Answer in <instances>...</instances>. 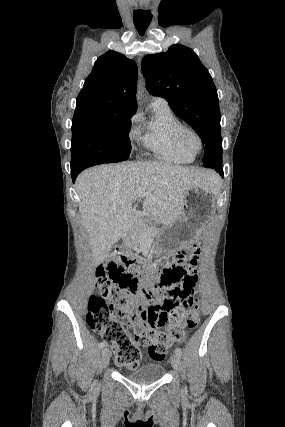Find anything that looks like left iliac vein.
<instances>
[{"label":"left iliac vein","instance_id":"1","mask_svg":"<svg viewBox=\"0 0 285 427\" xmlns=\"http://www.w3.org/2000/svg\"><path fill=\"white\" fill-rule=\"evenodd\" d=\"M171 363H172V367L173 369L177 372L179 371L180 368V357L177 353H174L171 357Z\"/></svg>","mask_w":285,"mask_h":427}]
</instances>
